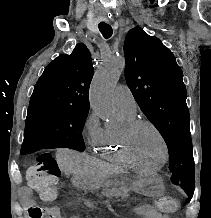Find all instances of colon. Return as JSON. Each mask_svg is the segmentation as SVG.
<instances>
[{
    "label": "colon",
    "mask_w": 211,
    "mask_h": 218,
    "mask_svg": "<svg viewBox=\"0 0 211 218\" xmlns=\"http://www.w3.org/2000/svg\"><path fill=\"white\" fill-rule=\"evenodd\" d=\"M60 170L55 159L47 152L40 153L36 161L31 164L26 173V179L30 188L35 190L45 201H53L58 198V179ZM156 208L161 212H172L177 207V202L172 198H160L155 201ZM29 218H47V212L33 206L28 211Z\"/></svg>",
    "instance_id": "obj_1"
}]
</instances>
